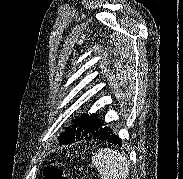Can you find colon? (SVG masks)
I'll use <instances>...</instances> for the list:
<instances>
[{"instance_id": "5ec220e1", "label": "colon", "mask_w": 183, "mask_h": 179, "mask_svg": "<svg viewBox=\"0 0 183 179\" xmlns=\"http://www.w3.org/2000/svg\"><path fill=\"white\" fill-rule=\"evenodd\" d=\"M44 179H74L58 165H50L44 170Z\"/></svg>"}]
</instances>
